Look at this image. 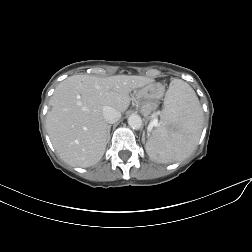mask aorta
I'll return each mask as SVG.
<instances>
[{
  "label": "aorta",
  "mask_w": 252,
  "mask_h": 252,
  "mask_svg": "<svg viewBox=\"0 0 252 252\" xmlns=\"http://www.w3.org/2000/svg\"><path fill=\"white\" fill-rule=\"evenodd\" d=\"M128 124L134 130L140 129L142 126L141 117L137 114L130 115L128 118Z\"/></svg>",
  "instance_id": "aorta-1"
}]
</instances>
